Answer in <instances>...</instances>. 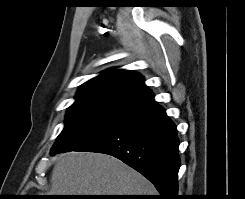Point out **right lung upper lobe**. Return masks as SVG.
Segmentation results:
<instances>
[{"label":"right lung upper lobe","instance_id":"right-lung-upper-lobe-1","mask_svg":"<svg viewBox=\"0 0 245 199\" xmlns=\"http://www.w3.org/2000/svg\"><path fill=\"white\" fill-rule=\"evenodd\" d=\"M156 104L139 74L110 69L81 85L69 108L95 107L129 116Z\"/></svg>","mask_w":245,"mask_h":199}]
</instances>
